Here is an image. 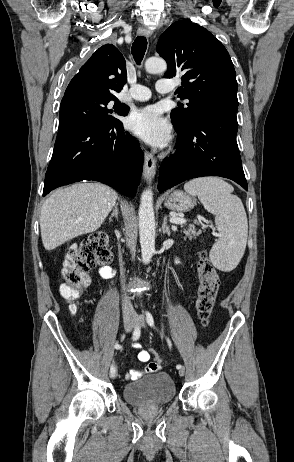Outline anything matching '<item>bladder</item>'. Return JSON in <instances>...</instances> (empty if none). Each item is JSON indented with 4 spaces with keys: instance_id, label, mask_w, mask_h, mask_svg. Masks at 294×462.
<instances>
[{
    "instance_id": "obj_1",
    "label": "bladder",
    "mask_w": 294,
    "mask_h": 462,
    "mask_svg": "<svg viewBox=\"0 0 294 462\" xmlns=\"http://www.w3.org/2000/svg\"><path fill=\"white\" fill-rule=\"evenodd\" d=\"M176 395V386L171 376L164 372L153 373L141 380L124 386V399L138 407L163 406Z\"/></svg>"
}]
</instances>
